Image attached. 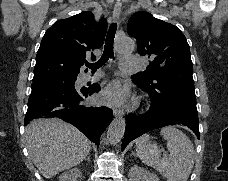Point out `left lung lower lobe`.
I'll use <instances>...</instances> for the list:
<instances>
[{"label":"left lung lower lobe","instance_id":"0a47b994","mask_svg":"<svg viewBox=\"0 0 228 181\" xmlns=\"http://www.w3.org/2000/svg\"><path fill=\"white\" fill-rule=\"evenodd\" d=\"M151 98L150 109L141 115L126 117L125 135L121 149L142 134L168 125L190 128L199 139V121L196 104L187 99H167L161 93L146 91Z\"/></svg>","mask_w":228,"mask_h":181}]
</instances>
